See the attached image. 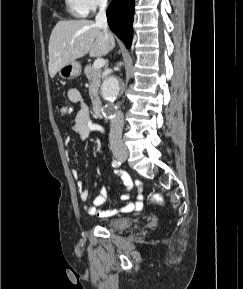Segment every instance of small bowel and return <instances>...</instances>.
<instances>
[{"instance_id": "small-bowel-1", "label": "small bowel", "mask_w": 243, "mask_h": 289, "mask_svg": "<svg viewBox=\"0 0 243 289\" xmlns=\"http://www.w3.org/2000/svg\"><path fill=\"white\" fill-rule=\"evenodd\" d=\"M67 97L71 102L79 103L81 105L80 110L76 113L72 121V130L76 133L78 138L80 140H85L91 133L103 134V127L91 119L89 110L83 102L80 91L76 88H70L67 91ZM66 142H69V140H66ZM73 176L78 178V172L76 170H73ZM120 176L124 185L126 186L127 191L129 192L134 185L132 179L127 174L120 173ZM136 186L138 188V193L135 201L129 202L117 209L110 210L102 207L108 197V190L105 187L101 188L99 194L93 200V204L90 205L86 203L89 197L88 190L84 189L82 181L79 180L77 182L80 200L84 203L83 207L85 212L91 216L98 217H108L117 213H128L141 210L143 207L144 194L141 189V183L137 182ZM120 199H129V193L121 195Z\"/></svg>"}]
</instances>
